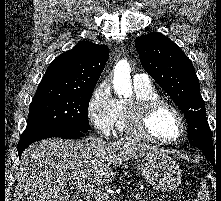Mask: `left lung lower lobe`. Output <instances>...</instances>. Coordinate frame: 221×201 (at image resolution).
<instances>
[{
  "label": "left lung lower lobe",
  "mask_w": 221,
  "mask_h": 201,
  "mask_svg": "<svg viewBox=\"0 0 221 201\" xmlns=\"http://www.w3.org/2000/svg\"><path fill=\"white\" fill-rule=\"evenodd\" d=\"M198 151L204 153L206 155V159L211 162V164L215 167V158H214V152H207L205 150L198 149Z\"/></svg>",
  "instance_id": "1"
}]
</instances>
